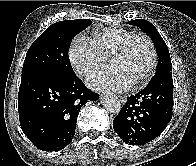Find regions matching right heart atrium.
<instances>
[{
    "label": "right heart atrium",
    "instance_id": "d8ad5b80",
    "mask_svg": "<svg viewBox=\"0 0 196 166\" xmlns=\"http://www.w3.org/2000/svg\"><path fill=\"white\" fill-rule=\"evenodd\" d=\"M68 56L71 65L81 76L90 74L103 67L107 62V58L98 51L95 45L82 36L73 38L68 50Z\"/></svg>",
    "mask_w": 196,
    "mask_h": 166
}]
</instances>
